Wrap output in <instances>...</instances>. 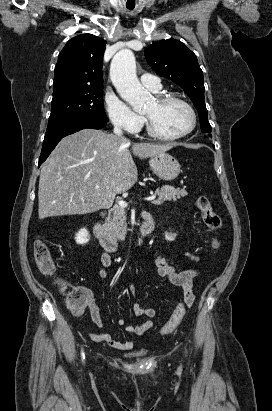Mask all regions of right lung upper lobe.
Returning a JSON list of instances; mask_svg holds the SVG:
<instances>
[{
  "instance_id": "1",
  "label": "right lung upper lobe",
  "mask_w": 272,
  "mask_h": 411,
  "mask_svg": "<svg viewBox=\"0 0 272 411\" xmlns=\"http://www.w3.org/2000/svg\"><path fill=\"white\" fill-rule=\"evenodd\" d=\"M106 41L92 34L70 39L59 54L53 93L79 87L101 86Z\"/></svg>"
}]
</instances>
